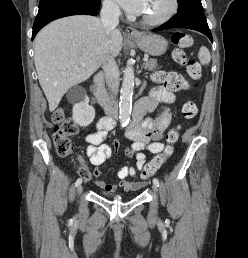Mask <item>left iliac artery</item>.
Returning <instances> with one entry per match:
<instances>
[{"label":"left iliac artery","mask_w":248,"mask_h":258,"mask_svg":"<svg viewBox=\"0 0 248 258\" xmlns=\"http://www.w3.org/2000/svg\"><path fill=\"white\" fill-rule=\"evenodd\" d=\"M153 183L156 184L157 186H159V180L157 178L153 179Z\"/></svg>","instance_id":"left-iliac-artery-1"}]
</instances>
